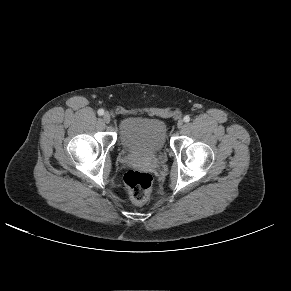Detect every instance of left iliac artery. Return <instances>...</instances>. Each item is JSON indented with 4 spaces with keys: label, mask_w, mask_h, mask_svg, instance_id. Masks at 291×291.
Wrapping results in <instances>:
<instances>
[{
    "label": "left iliac artery",
    "mask_w": 291,
    "mask_h": 291,
    "mask_svg": "<svg viewBox=\"0 0 291 291\" xmlns=\"http://www.w3.org/2000/svg\"><path fill=\"white\" fill-rule=\"evenodd\" d=\"M184 121H185V122H189V121H190V117H189L188 115H186V116L184 117Z\"/></svg>",
    "instance_id": "1"
}]
</instances>
